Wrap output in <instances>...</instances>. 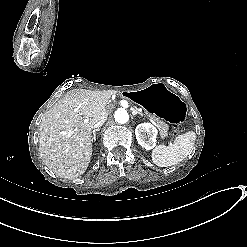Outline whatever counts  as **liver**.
<instances>
[{
    "mask_svg": "<svg viewBox=\"0 0 247 247\" xmlns=\"http://www.w3.org/2000/svg\"><path fill=\"white\" fill-rule=\"evenodd\" d=\"M109 97L102 91L73 89L42 116L40 159L56 176L73 180L83 175L92 159V130L108 117ZM79 108L78 112L74 110Z\"/></svg>",
    "mask_w": 247,
    "mask_h": 247,
    "instance_id": "liver-1",
    "label": "liver"
}]
</instances>
